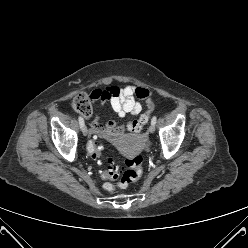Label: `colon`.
Listing matches in <instances>:
<instances>
[{
	"label": "colon",
	"instance_id": "5ec220e1",
	"mask_svg": "<svg viewBox=\"0 0 248 248\" xmlns=\"http://www.w3.org/2000/svg\"><path fill=\"white\" fill-rule=\"evenodd\" d=\"M113 87L117 90L116 86ZM118 91V90H117ZM99 91L94 92L92 95H79L72 102V108L75 112L79 113L83 117L91 115L93 110V100L99 98ZM152 113L147 111L142 114L137 120H134L128 124V129L132 132L139 133L144 125L148 122ZM85 149L90 154L93 160L98 164L104 165L102 170V177L104 179L116 180L120 179L117 185L105 184V189L109 192L118 188H126L127 186L136 182L142 174L143 157L140 154H134L128 157L122 168L115 166L110 160L104 159L102 154V146L95 138H88L85 141Z\"/></svg>",
	"mask_w": 248,
	"mask_h": 248
}]
</instances>
